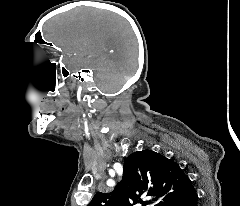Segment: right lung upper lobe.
I'll use <instances>...</instances> for the list:
<instances>
[{
    "instance_id": "1",
    "label": "right lung upper lobe",
    "mask_w": 240,
    "mask_h": 206,
    "mask_svg": "<svg viewBox=\"0 0 240 206\" xmlns=\"http://www.w3.org/2000/svg\"><path fill=\"white\" fill-rule=\"evenodd\" d=\"M123 179L110 193L98 192L88 206L146 205L143 197L151 196L155 206H164L185 193L192 182L173 160L151 150L131 154L124 164Z\"/></svg>"
}]
</instances>
